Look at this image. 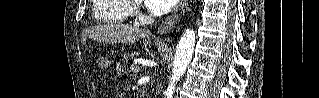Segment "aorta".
Returning <instances> with one entry per match:
<instances>
[{
	"label": "aorta",
	"mask_w": 319,
	"mask_h": 98,
	"mask_svg": "<svg viewBox=\"0 0 319 98\" xmlns=\"http://www.w3.org/2000/svg\"><path fill=\"white\" fill-rule=\"evenodd\" d=\"M195 41L196 33L193 29H187L181 36L176 48L169 85L165 91L166 98H173L176 83L186 72L191 62Z\"/></svg>",
	"instance_id": "aorta-1"
}]
</instances>
